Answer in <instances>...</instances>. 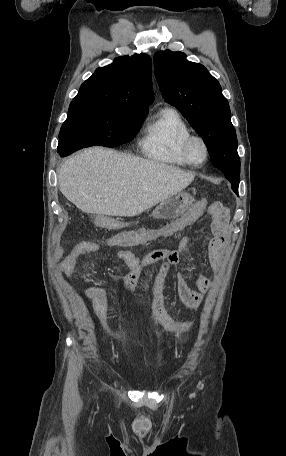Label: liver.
<instances>
[{"label": "liver", "instance_id": "6515ba94", "mask_svg": "<svg viewBox=\"0 0 286 456\" xmlns=\"http://www.w3.org/2000/svg\"><path fill=\"white\" fill-rule=\"evenodd\" d=\"M195 174L164 163L92 147L65 160L59 189L85 213L137 216L179 193Z\"/></svg>", "mask_w": 286, "mask_h": 456}]
</instances>
